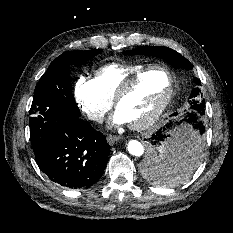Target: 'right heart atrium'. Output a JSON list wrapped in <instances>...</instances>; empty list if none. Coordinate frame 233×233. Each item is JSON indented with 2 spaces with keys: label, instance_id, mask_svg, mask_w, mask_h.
<instances>
[{
  "label": "right heart atrium",
  "instance_id": "obj_1",
  "mask_svg": "<svg viewBox=\"0 0 233 233\" xmlns=\"http://www.w3.org/2000/svg\"><path fill=\"white\" fill-rule=\"evenodd\" d=\"M74 99L81 113L92 122H100L110 108L94 78L80 76L74 85Z\"/></svg>",
  "mask_w": 233,
  "mask_h": 233
}]
</instances>
